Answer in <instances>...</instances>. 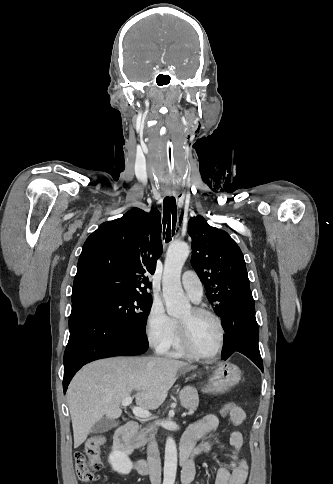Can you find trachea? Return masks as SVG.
Returning a JSON list of instances; mask_svg holds the SVG:
<instances>
[{
    "label": "trachea",
    "instance_id": "3493384b",
    "mask_svg": "<svg viewBox=\"0 0 333 484\" xmlns=\"http://www.w3.org/2000/svg\"><path fill=\"white\" fill-rule=\"evenodd\" d=\"M164 141L162 146V153L164 154L167 160V171L169 177H173L174 173L172 171V167L174 166V156L175 151L172 149L173 143V132L172 131H165L164 132ZM174 182H169V189L166 192V196L164 198V215H163V237L166 238V242L171 240V235L174 236L176 230V221H177V205L176 200L174 198ZM181 221V220H180ZM178 230V229H177Z\"/></svg>",
    "mask_w": 333,
    "mask_h": 484
}]
</instances>
